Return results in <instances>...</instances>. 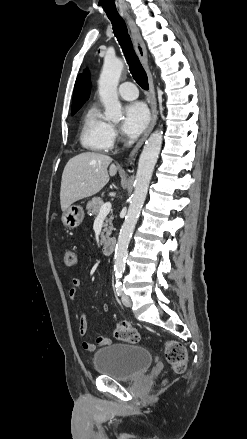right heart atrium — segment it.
<instances>
[{
    "label": "right heart atrium",
    "mask_w": 247,
    "mask_h": 439,
    "mask_svg": "<svg viewBox=\"0 0 247 439\" xmlns=\"http://www.w3.org/2000/svg\"><path fill=\"white\" fill-rule=\"evenodd\" d=\"M111 134H112L113 139L117 137V131L112 126H111Z\"/></svg>",
    "instance_id": "1"
}]
</instances>
